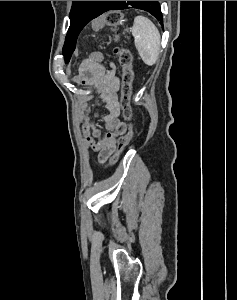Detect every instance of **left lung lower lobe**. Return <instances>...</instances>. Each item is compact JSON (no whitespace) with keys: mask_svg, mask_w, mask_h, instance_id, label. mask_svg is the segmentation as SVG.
Masks as SVG:
<instances>
[{"mask_svg":"<svg viewBox=\"0 0 237 300\" xmlns=\"http://www.w3.org/2000/svg\"><path fill=\"white\" fill-rule=\"evenodd\" d=\"M119 5H120V1H109V3L103 9L102 14L109 10H121V7ZM160 15H162L161 11H160Z\"/></svg>","mask_w":237,"mask_h":300,"instance_id":"obj_1","label":"left lung lower lobe"}]
</instances>
